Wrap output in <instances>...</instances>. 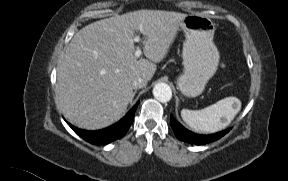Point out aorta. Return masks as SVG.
I'll list each match as a JSON object with an SVG mask.
<instances>
[{"instance_id": "762f6f07", "label": "aorta", "mask_w": 288, "mask_h": 181, "mask_svg": "<svg viewBox=\"0 0 288 181\" xmlns=\"http://www.w3.org/2000/svg\"><path fill=\"white\" fill-rule=\"evenodd\" d=\"M153 95L158 101L165 103L171 100L172 90L168 84L158 83L153 88Z\"/></svg>"}]
</instances>
